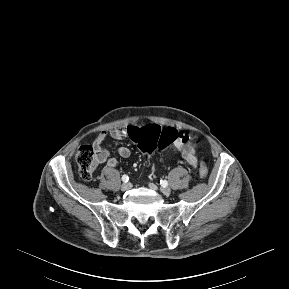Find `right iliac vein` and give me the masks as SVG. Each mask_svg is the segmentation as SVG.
I'll return each instance as SVG.
<instances>
[{
	"label": "right iliac vein",
	"mask_w": 289,
	"mask_h": 289,
	"mask_svg": "<svg viewBox=\"0 0 289 289\" xmlns=\"http://www.w3.org/2000/svg\"><path fill=\"white\" fill-rule=\"evenodd\" d=\"M131 187H132L131 183H123L121 186V190L127 191V190L131 189Z\"/></svg>",
	"instance_id": "63e3f726"
}]
</instances>
